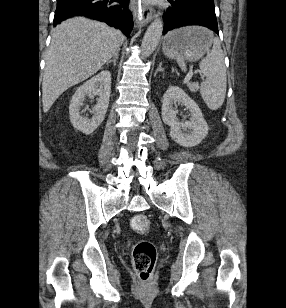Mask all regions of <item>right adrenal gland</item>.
<instances>
[{
    "label": "right adrenal gland",
    "instance_id": "obj_1",
    "mask_svg": "<svg viewBox=\"0 0 286 308\" xmlns=\"http://www.w3.org/2000/svg\"><path fill=\"white\" fill-rule=\"evenodd\" d=\"M119 56V51H117L114 55H113V59L109 60L106 65H109L110 63L113 62L114 66H116V61L118 59Z\"/></svg>",
    "mask_w": 286,
    "mask_h": 308
}]
</instances>
